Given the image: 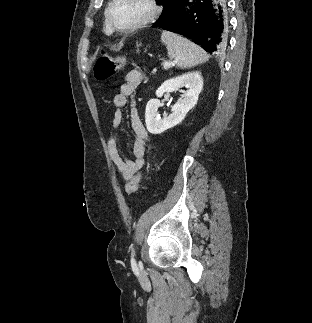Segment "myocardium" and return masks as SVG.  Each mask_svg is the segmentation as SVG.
Returning a JSON list of instances; mask_svg holds the SVG:
<instances>
[{"instance_id":"obj_1","label":"myocardium","mask_w":312,"mask_h":323,"mask_svg":"<svg viewBox=\"0 0 312 323\" xmlns=\"http://www.w3.org/2000/svg\"><path fill=\"white\" fill-rule=\"evenodd\" d=\"M157 0H113L108 3V10H104L103 15L111 25V31H142L143 25H148L149 21H160L162 15L161 3H156ZM150 4L151 8L145 12L146 18L140 16V19L120 20L119 16L114 13L119 11H129L131 4Z\"/></svg>"}]
</instances>
